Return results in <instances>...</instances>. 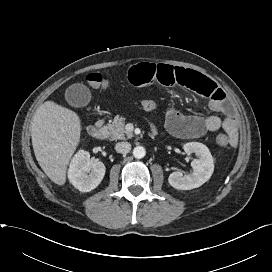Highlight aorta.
I'll use <instances>...</instances> for the list:
<instances>
[{
	"label": "aorta",
	"mask_w": 272,
	"mask_h": 272,
	"mask_svg": "<svg viewBox=\"0 0 272 272\" xmlns=\"http://www.w3.org/2000/svg\"><path fill=\"white\" fill-rule=\"evenodd\" d=\"M133 155L137 159H141L146 155L145 148L142 146H137L133 149Z\"/></svg>",
	"instance_id": "762f6f07"
}]
</instances>
